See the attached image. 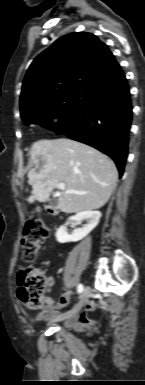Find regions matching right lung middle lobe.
Masks as SVG:
<instances>
[{"label": "right lung middle lobe", "instance_id": "right-lung-middle-lobe-1", "mask_svg": "<svg viewBox=\"0 0 145 385\" xmlns=\"http://www.w3.org/2000/svg\"><path fill=\"white\" fill-rule=\"evenodd\" d=\"M92 93L93 91L86 89L68 91L44 105L29 110L21 116L22 120L26 125L35 123L55 131L67 124L85 106ZM53 118H58L59 121L53 123Z\"/></svg>", "mask_w": 145, "mask_h": 385}]
</instances>
